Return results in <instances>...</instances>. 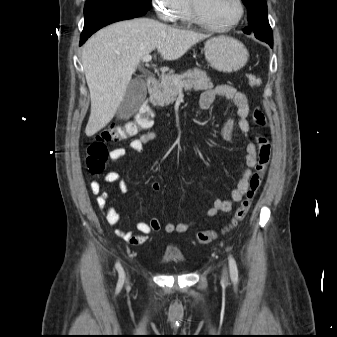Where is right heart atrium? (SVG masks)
<instances>
[{
  "label": "right heart atrium",
  "mask_w": 337,
  "mask_h": 337,
  "mask_svg": "<svg viewBox=\"0 0 337 337\" xmlns=\"http://www.w3.org/2000/svg\"><path fill=\"white\" fill-rule=\"evenodd\" d=\"M159 18L166 22L177 20L183 0H152Z\"/></svg>",
  "instance_id": "right-heart-atrium-1"
}]
</instances>
